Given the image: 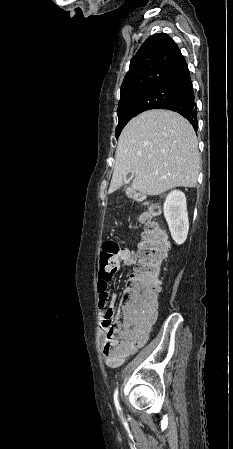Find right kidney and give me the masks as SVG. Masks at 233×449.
Listing matches in <instances>:
<instances>
[{
	"label": "right kidney",
	"instance_id": "ca27d5eb",
	"mask_svg": "<svg viewBox=\"0 0 233 449\" xmlns=\"http://www.w3.org/2000/svg\"><path fill=\"white\" fill-rule=\"evenodd\" d=\"M163 211L173 240L178 245L183 244L189 230L185 194L179 190L170 192L164 202Z\"/></svg>",
	"mask_w": 233,
	"mask_h": 449
}]
</instances>
